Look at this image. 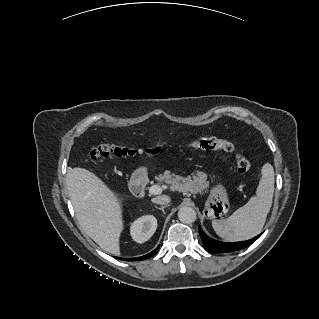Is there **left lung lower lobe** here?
<instances>
[{
  "label": "left lung lower lobe",
  "mask_w": 319,
  "mask_h": 319,
  "mask_svg": "<svg viewBox=\"0 0 319 319\" xmlns=\"http://www.w3.org/2000/svg\"><path fill=\"white\" fill-rule=\"evenodd\" d=\"M199 234L202 239L204 248L210 253L232 252V251L245 248L251 245L261 235L259 234L258 236L248 241L237 242V243H222L209 238L200 227H199Z\"/></svg>",
  "instance_id": "0a47b994"
}]
</instances>
